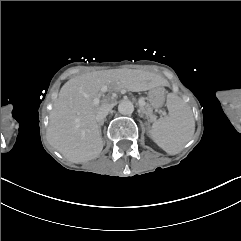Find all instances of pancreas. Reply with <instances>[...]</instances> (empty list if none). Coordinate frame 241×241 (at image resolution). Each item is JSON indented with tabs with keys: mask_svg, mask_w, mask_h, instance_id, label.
Here are the masks:
<instances>
[{
	"mask_svg": "<svg viewBox=\"0 0 241 241\" xmlns=\"http://www.w3.org/2000/svg\"><path fill=\"white\" fill-rule=\"evenodd\" d=\"M142 110L150 117L151 120L156 118V116L153 114L152 108L148 104L144 106Z\"/></svg>",
	"mask_w": 241,
	"mask_h": 241,
	"instance_id": "pancreas-1",
	"label": "pancreas"
}]
</instances>
